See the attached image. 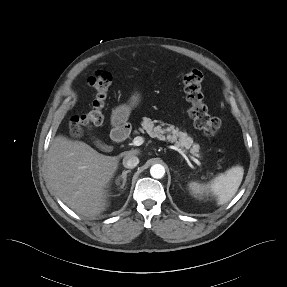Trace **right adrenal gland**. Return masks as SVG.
Wrapping results in <instances>:
<instances>
[{"label":"right adrenal gland","instance_id":"2a0ac1e0","mask_svg":"<svg viewBox=\"0 0 287 287\" xmlns=\"http://www.w3.org/2000/svg\"><path fill=\"white\" fill-rule=\"evenodd\" d=\"M130 172H131V170H124V171L122 172V175H120V176L116 179V184H117V185L120 184V180H121V179L123 180L122 185L120 186L121 189L124 188L125 183H126V180H127V179H126V178H127V174L130 173Z\"/></svg>","mask_w":287,"mask_h":287}]
</instances>
